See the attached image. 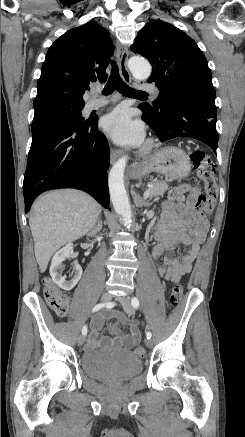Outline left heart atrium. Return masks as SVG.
Wrapping results in <instances>:
<instances>
[{
    "label": "left heart atrium",
    "mask_w": 245,
    "mask_h": 437,
    "mask_svg": "<svg viewBox=\"0 0 245 437\" xmlns=\"http://www.w3.org/2000/svg\"><path fill=\"white\" fill-rule=\"evenodd\" d=\"M101 125L106 135L118 144H137L142 139L141 125L132 119L125 107L116 108L105 115Z\"/></svg>",
    "instance_id": "39dd6f15"
}]
</instances>
